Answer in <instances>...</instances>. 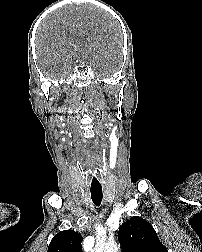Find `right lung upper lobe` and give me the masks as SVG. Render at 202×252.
<instances>
[{
  "label": "right lung upper lobe",
  "mask_w": 202,
  "mask_h": 252,
  "mask_svg": "<svg viewBox=\"0 0 202 252\" xmlns=\"http://www.w3.org/2000/svg\"><path fill=\"white\" fill-rule=\"evenodd\" d=\"M82 236L73 230L61 231L50 242L47 252H82Z\"/></svg>",
  "instance_id": "cb5924a9"
}]
</instances>
